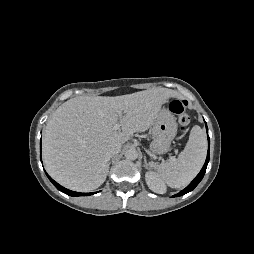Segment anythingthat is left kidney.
Returning <instances> with one entry per match:
<instances>
[{"mask_svg": "<svg viewBox=\"0 0 254 254\" xmlns=\"http://www.w3.org/2000/svg\"><path fill=\"white\" fill-rule=\"evenodd\" d=\"M145 179L148 187L155 193L163 194L166 192V186L161 178L152 171H148L145 174Z\"/></svg>", "mask_w": 254, "mask_h": 254, "instance_id": "left-kidney-1", "label": "left kidney"}]
</instances>
